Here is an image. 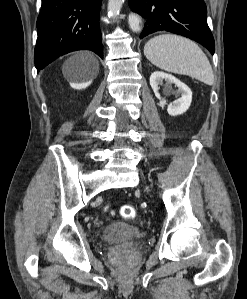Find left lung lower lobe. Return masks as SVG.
Masks as SVG:
<instances>
[{"mask_svg":"<svg viewBox=\"0 0 247 299\" xmlns=\"http://www.w3.org/2000/svg\"><path fill=\"white\" fill-rule=\"evenodd\" d=\"M129 4L132 11L147 18L140 38L164 30L188 37L214 54V38L203 0H129Z\"/></svg>","mask_w":247,"mask_h":299,"instance_id":"1","label":"left lung lower lobe"}]
</instances>
